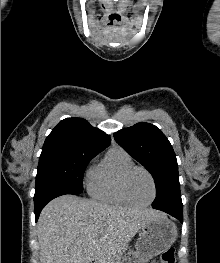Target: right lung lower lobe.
Returning <instances> with one entry per match:
<instances>
[{"mask_svg": "<svg viewBox=\"0 0 220 263\" xmlns=\"http://www.w3.org/2000/svg\"><path fill=\"white\" fill-rule=\"evenodd\" d=\"M65 194H76V193L59 189V190H50L37 197H34L35 220L36 221L38 220L41 210L48 202H50L52 199L58 196L65 195Z\"/></svg>", "mask_w": 220, "mask_h": 263, "instance_id": "1", "label": "right lung lower lobe"}]
</instances>
